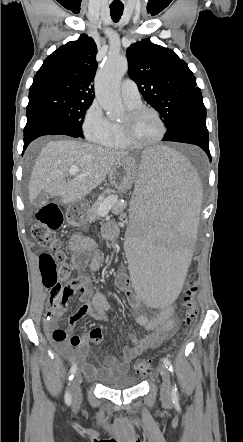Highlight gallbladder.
<instances>
[{"label":"gallbladder","instance_id":"obj_1","mask_svg":"<svg viewBox=\"0 0 243 442\" xmlns=\"http://www.w3.org/2000/svg\"><path fill=\"white\" fill-rule=\"evenodd\" d=\"M56 201V196L53 193L47 194L46 192H41L33 202L36 208H40L44 203H49V201Z\"/></svg>","mask_w":243,"mask_h":442}]
</instances>
